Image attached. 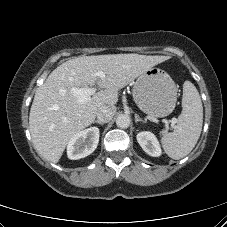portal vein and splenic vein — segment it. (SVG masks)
Returning a JSON list of instances; mask_svg holds the SVG:
<instances>
[{
	"label": "portal vein and splenic vein",
	"mask_w": 227,
	"mask_h": 227,
	"mask_svg": "<svg viewBox=\"0 0 227 227\" xmlns=\"http://www.w3.org/2000/svg\"><path fill=\"white\" fill-rule=\"evenodd\" d=\"M97 76L104 78L105 74L103 71L97 72ZM96 87H83V88H72V94L77 98L78 102L84 103L90 99V96L96 93ZM171 123L174 125L177 123L176 118L171 119Z\"/></svg>",
	"instance_id": "portal-vein-and-splenic-vein-1"
}]
</instances>
